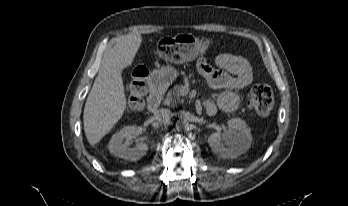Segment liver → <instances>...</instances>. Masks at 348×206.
<instances>
[{
	"mask_svg": "<svg viewBox=\"0 0 348 206\" xmlns=\"http://www.w3.org/2000/svg\"><path fill=\"white\" fill-rule=\"evenodd\" d=\"M141 42L139 33L121 36L103 58L83 113L84 131L91 146L97 144L124 114L127 102L122 71L132 64Z\"/></svg>",
	"mask_w": 348,
	"mask_h": 206,
	"instance_id": "1",
	"label": "liver"
}]
</instances>
